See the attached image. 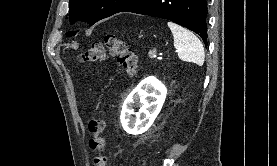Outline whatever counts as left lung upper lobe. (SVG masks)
Here are the masks:
<instances>
[{"mask_svg": "<svg viewBox=\"0 0 277 166\" xmlns=\"http://www.w3.org/2000/svg\"><path fill=\"white\" fill-rule=\"evenodd\" d=\"M135 0H70V21L82 20L94 24L99 20L116 14L132 4ZM74 31L67 33L73 36Z\"/></svg>", "mask_w": 277, "mask_h": 166, "instance_id": "1", "label": "left lung upper lobe"}]
</instances>
